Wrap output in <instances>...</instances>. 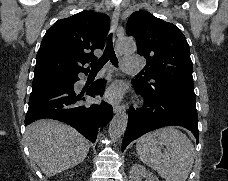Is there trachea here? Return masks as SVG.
<instances>
[{
    "label": "trachea",
    "mask_w": 228,
    "mask_h": 181,
    "mask_svg": "<svg viewBox=\"0 0 228 181\" xmlns=\"http://www.w3.org/2000/svg\"><path fill=\"white\" fill-rule=\"evenodd\" d=\"M110 60L111 63L118 68V60L115 55V51L113 48V42H112V34L109 35L107 40V45L104 50L103 55L96 61H93V63H90L91 66V72H97L101 70V68L107 63V61Z\"/></svg>",
    "instance_id": "1"
}]
</instances>
